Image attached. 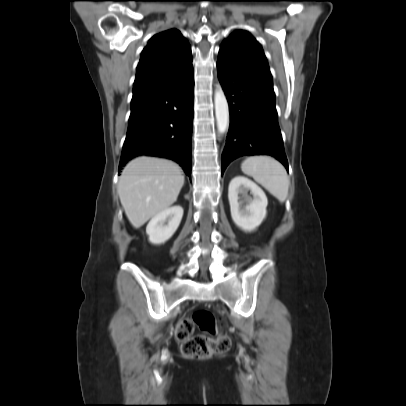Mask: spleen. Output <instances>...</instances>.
<instances>
[{
	"label": "spleen",
	"instance_id": "1",
	"mask_svg": "<svg viewBox=\"0 0 406 406\" xmlns=\"http://www.w3.org/2000/svg\"><path fill=\"white\" fill-rule=\"evenodd\" d=\"M242 171L254 178L280 202L288 195L289 178L283 165L268 156H253L241 164Z\"/></svg>",
	"mask_w": 406,
	"mask_h": 406
}]
</instances>
